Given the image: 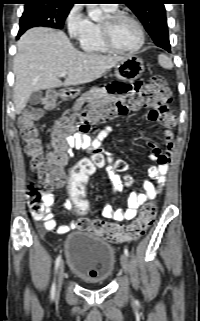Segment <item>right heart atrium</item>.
<instances>
[{"instance_id": "1", "label": "right heart atrium", "mask_w": 200, "mask_h": 321, "mask_svg": "<svg viewBox=\"0 0 200 321\" xmlns=\"http://www.w3.org/2000/svg\"><path fill=\"white\" fill-rule=\"evenodd\" d=\"M65 23L70 37L79 39L88 31L91 21L84 14L80 5H74L69 10Z\"/></svg>"}]
</instances>
